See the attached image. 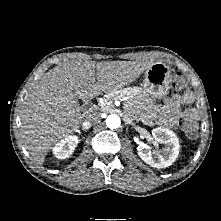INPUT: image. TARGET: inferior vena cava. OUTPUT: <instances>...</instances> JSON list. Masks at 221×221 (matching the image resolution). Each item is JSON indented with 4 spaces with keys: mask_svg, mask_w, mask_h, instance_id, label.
<instances>
[{
    "mask_svg": "<svg viewBox=\"0 0 221 221\" xmlns=\"http://www.w3.org/2000/svg\"><path fill=\"white\" fill-rule=\"evenodd\" d=\"M99 120V116L98 115H96V114H91V115H89L88 117H87V123L88 124H92V123H95V122H97Z\"/></svg>",
    "mask_w": 221,
    "mask_h": 221,
    "instance_id": "602c4592",
    "label": "inferior vena cava"
}]
</instances>
